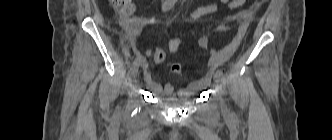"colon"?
I'll list each match as a JSON object with an SVG mask.
<instances>
[{"label": "colon", "mask_w": 332, "mask_h": 140, "mask_svg": "<svg viewBox=\"0 0 332 140\" xmlns=\"http://www.w3.org/2000/svg\"><path fill=\"white\" fill-rule=\"evenodd\" d=\"M267 0H254L255 5H259ZM111 4L124 16H130L134 12V4L132 0H110ZM196 27L191 28L193 34L198 33ZM165 51L162 49H156L153 52V58L156 62H162L165 59Z\"/></svg>", "instance_id": "colon-1"}]
</instances>
